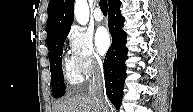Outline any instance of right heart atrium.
<instances>
[{"label":"right heart atrium","mask_w":193,"mask_h":112,"mask_svg":"<svg viewBox=\"0 0 193 112\" xmlns=\"http://www.w3.org/2000/svg\"><path fill=\"white\" fill-rule=\"evenodd\" d=\"M71 62L83 77H89L103 68L102 59L96 53L91 36L79 27H72L67 34Z\"/></svg>","instance_id":"obj_1"}]
</instances>
